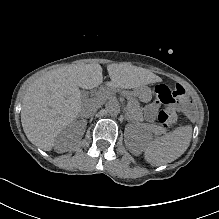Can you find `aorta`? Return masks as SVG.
Listing matches in <instances>:
<instances>
[{
	"instance_id": "762f6f07",
	"label": "aorta",
	"mask_w": 219,
	"mask_h": 219,
	"mask_svg": "<svg viewBox=\"0 0 219 219\" xmlns=\"http://www.w3.org/2000/svg\"><path fill=\"white\" fill-rule=\"evenodd\" d=\"M107 112L112 116H117L120 113V106L117 100H108L105 104Z\"/></svg>"
}]
</instances>
